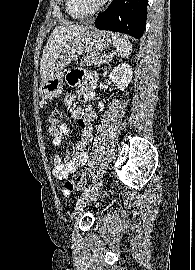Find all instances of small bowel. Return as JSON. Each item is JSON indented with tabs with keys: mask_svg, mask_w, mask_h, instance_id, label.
Returning <instances> with one entry per match:
<instances>
[{
	"mask_svg": "<svg viewBox=\"0 0 195 270\" xmlns=\"http://www.w3.org/2000/svg\"><path fill=\"white\" fill-rule=\"evenodd\" d=\"M67 82L70 86L80 85L81 92L85 98L92 99L94 97L93 90L96 83V77L94 74L80 69L72 70L67 75ZM75 99L76 97L74 94H67L64 97V105L67 107L72 106ZM72 117L77 122L81 132V137L75 146V152L70 154L65 161H62L59 155L54 156L52 173L59 181L69 179L79 167L87 163L88 155L85 147L93 140L92 129L96 114L92 106L85 105L74 109L72 111ZM48 132L52 137V145L58 146L63 138L68 134L69 127L66 123H62L59 126L49 127ZM63 194L68 196L70 192L63 190Z\"/></svg>",
	"mask_w": 195,
	"mask_h": 270,
	"instance_id": "1",
	"label": "small bowel"
}]
</instances>
